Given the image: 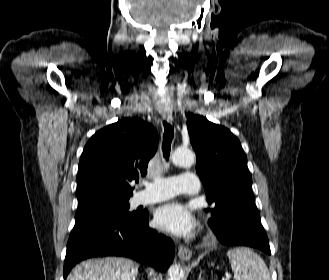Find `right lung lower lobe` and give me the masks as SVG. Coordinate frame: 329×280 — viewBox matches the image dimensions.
<instances>
[{
	"mask_svg": "<svg viewBox=\"0 0 329 280\" xmlns=\"http://www.w3.org/2000/svg\"><path fill=\"white\" fill-rule=\"evenodd\" d=\"M149 213L136 219L102 211L76 221L64 263V280L77 263L98 256H124L164 272L174 257V243L148 227Z\"/></svg>",
	"mask_w": 329,
	"mask_h": 280,
	"instance_id": "98d812e1",
	"label": "right lung lower lobe"
}]
</instances>
